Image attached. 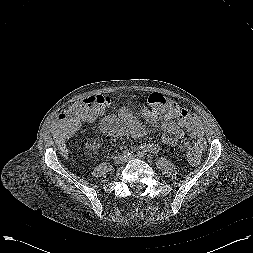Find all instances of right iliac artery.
Here are the masks:
<instances>
[{
	"mask_svg": "<svg viewBox=\"0 0 253 253\" xmlns=\"http://www.w3.org/2000/svg\"><path fill=\"white\" fill-rule=\"evenodd\" d=\"M130 154H131V153H130L129 150L123 151V156H124V157H127V156H129Z\"/></svg>",
	"mask_w": 253,
	"mask_h": 253,
	"instance_id": "right-iliac-artery-1",
	"label": "right iliac artery"
}]
</instances>
